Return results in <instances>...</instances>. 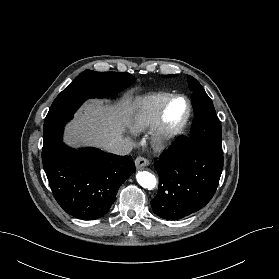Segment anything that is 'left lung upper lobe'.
<instances>
[{
    "label": "left lung upper lobe",
    "instance_id": "left-lung-upper-lobe-1",
    "mask_svg": "<svg viewBox=\"0 0 279 279\" xmlns=\"http://www.w3.org/2000/svg\"><path fill=\"white\" fill-rule=\"evenodd\" d=\"M189 83L193 90L192 100L195 118L188 139L206 145L219 153H223L222 128L213 103L195 78L189 76Z\"/></svg>",
    "mask_w": 279,
    "mask_h": 279
}]
</instances>
